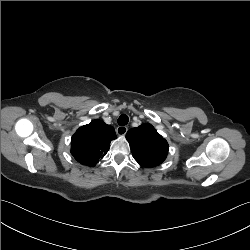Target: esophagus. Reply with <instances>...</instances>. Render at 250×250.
Here are the masks:
<instances>
[{
	"label": "esophagus",
	"mask_w": 250,
	"mask_h": 250,
	"mask_svg": "<svg viewBox=\"0 0 250 250\" xmlns=\"http://www.w3.org/2000/svg\"><path fill=\"white\" fill-rule=\"evenodd\" d=\"M128 131V128L126 126H118L116 129V132L120 136H124Z\"/></svg>",
	"instance_id": "34e87169"
}]
</instances>
